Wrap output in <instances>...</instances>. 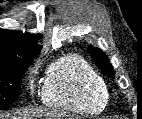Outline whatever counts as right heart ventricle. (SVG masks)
<instances>
[{"mask_svg": "<svg viewBox=\"0 0 142 119\" xmlns=\"http://www.w3.org/2000/svg\"><path fill=\"white\" fill-rule=\"evenodd\" d=\"M41 95L48 106L82 114L100 113L109 100L104 79L75 54L63 56L49 66Z\"/></svg>", "mask_w": 142, "mask_h": 119, "instance_id": "1", "label": "right heart ventricle"}]
</instances>
